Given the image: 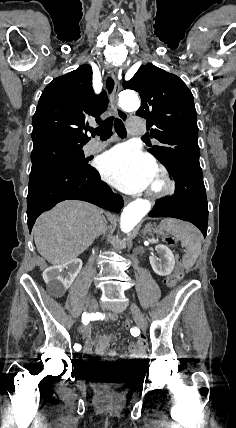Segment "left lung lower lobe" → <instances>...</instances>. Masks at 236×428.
Segmentation results:
<instances>
[{
	"mask_svg": "<svg viewBox=\"0 0 236 428\" xmlns=\"http://www.w3.org/2000/svg\"><path fill=\"white\" fill-rule=\"evenodd\" d=\"M176 189L172 197L158 201L150 217H172L193 223L207 235L208 203L201 169L179 165L167 166Z\"/></svg>",
	"mask_w": 236,
	"mask_h": 428,
	"instance_id": "left-lung-lower-lobe-1",
	"label": "left lung lower lobe"
}]
</instances>
